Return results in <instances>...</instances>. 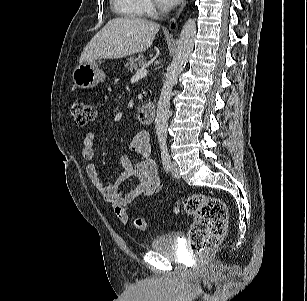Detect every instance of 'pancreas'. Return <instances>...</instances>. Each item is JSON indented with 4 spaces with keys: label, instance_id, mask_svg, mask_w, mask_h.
<instances>
[{
    "label": "pancreas",
    "instance_id": "1",
    "mask_svg": "<svg viewBox=\"0 0 307 301\" xmlns=\"http://www.w3.org/2000/svg\"><path fill=\"white\" fill-rule=\"evenodd\" d=\"M146 65V59H144L143 55H139L137 57H130L128 59V62L124 64V67L132 72L133 70H136L139 66H145Z\"/></svg>",
    "mask_w": 307,
    "mask_h": 301
}]
</instances>
